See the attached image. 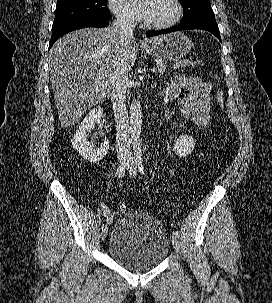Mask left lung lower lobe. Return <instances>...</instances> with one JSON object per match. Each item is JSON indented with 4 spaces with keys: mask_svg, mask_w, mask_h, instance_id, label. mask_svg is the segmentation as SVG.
<instances>
[{
    "mask_svg": "<svg viewBox=\"0 0 272 303\" xmlns=\"http://www.w3.org/2000/svg\"><path fill=\"white\" fill-rule=\"evenodd\" d=\"M194 29H201L206 30L214 34L220 41V31L218 28V25L216 23V20H208V21H202V22H195V23H187V24H179L174 27L160 30V31H148L147 34L149 36H156L160 34L175 32V31H181V30H194Z\"/></svg>",
    "mask_w": 272,
    "mask_h": 303,
    "instance_id": "0a47b994",
    "label": "left lung lower lobe"
}]
</instances>
